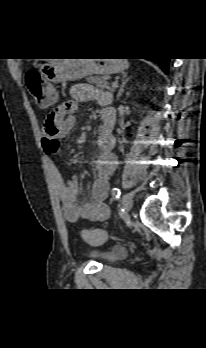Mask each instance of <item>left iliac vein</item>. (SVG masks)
I'll return each mask as SVG.
<instances>
[{
	"label": "left iliac vein",
	"instance_id": "obj_1",
	"mask_svg": "<svg viewBox=\"0 0 206 348\" xmlns=\"http://www.w3.org/2000/svg\"><path fill=\"white\" fill-rule=\"evenodd\" d=\"M122 205L126 213H129L133 206V196L130 193H126L122 197Z\"/></svg>",
	"mask_w": 206,
	"mask_h": 348
}]
</instances>
